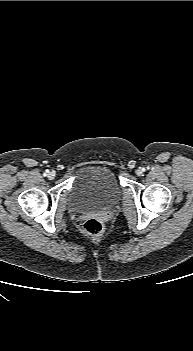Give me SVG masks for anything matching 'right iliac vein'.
<instances>
[{"label":"right iliac vein","instance_id":"63e3f726","mask_svg":"<svg viewBox=\"0 0 193 351\" xmlns=\"http://www.w3.org/2000/svg\"><path fill=\"white\" fill-rule=\"evenodd\" d=\"M47 178H48L49 180H53V179L55 178V173H54V172H49V173L47 174Z\"/></svg>","mask_w":193,"mask_h":351}]
</instances>
